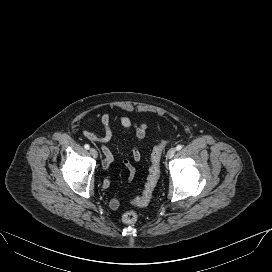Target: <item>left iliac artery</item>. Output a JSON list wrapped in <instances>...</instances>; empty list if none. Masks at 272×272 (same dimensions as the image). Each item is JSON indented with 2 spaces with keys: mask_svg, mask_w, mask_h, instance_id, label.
<instances>
[{
  "mask_svg": "<svg viewBox=\"0 0 272 272\" xmlns=\"http://www.w3.org/2000/svg\"><path fill=\"white\" fill-rule=\"evenodd\" d=\"M182 149V145H177V147H176V150H181Z\"/></svg>",
  "mask_w": 272,
  "mask_h": 272,
  "instance_id": "left-iliac-artery-1",
  "label": "left iliac artery"
}]
</instances>
